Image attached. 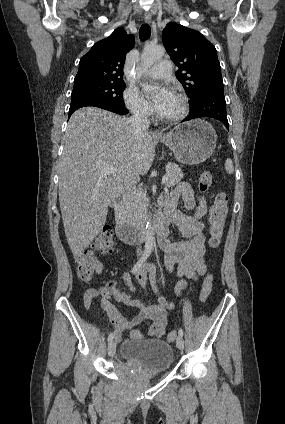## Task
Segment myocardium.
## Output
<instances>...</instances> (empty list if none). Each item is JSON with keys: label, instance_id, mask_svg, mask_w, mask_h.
I'll use <instances>...</instances> for the list:
<instances>
[{"label": "myocardium", "instance_id": "myocardium-1", "mask_svg": "<svg viewBox=\"0 0 285 424\" xmlns=\"http://www.w3.org/2000/svg\"><path fill=\"white\" fill-rule=\"evenodd\" d=\"M175 95L181 100L182 102V108L181 111L175 115V116H171V117H163L161 115H158L159 120L165 122V123H177L182 121L183 119L186 118V116L188 115L189 112V101L187 96L182 93V92H175Z\"/></svg>", "mask_w": 285, "mask_h": 424}]
</instances>
